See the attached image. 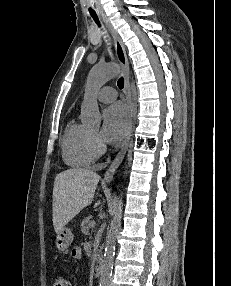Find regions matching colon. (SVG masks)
<instances>
[{
    "label": "colon",
    "instance_id": "obj_1",
    "mask_svg": "<svg viewBox=\"0 0 231 286\" xmlns=\"http://www.w3.org/2000/svg\"><path fill=\"white\" fill-rule=\"evenodd\" d=\"M52 286H71L68 278L64 276H58L54 279Z\"/></svg>",
    "mask_w": 231,
    "mask_h": 286
}]
</instances>
